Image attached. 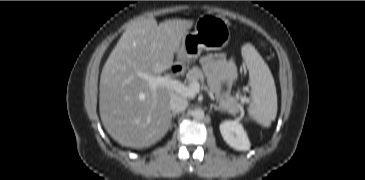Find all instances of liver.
<instances>
[{
  "mask_svg": "<svg viewBox=\"0 0 365 180\" xmlns=\"http://www.w3.org/2000/svg\"><path fill=\"white\" fill-rule=\"evenodd\" d=\"M192 20L154 18L132 21L108 57L100 79L99 112L104 128L123 146L149 147L171 126L170 98L176 91H153L139 74L158 76L182 56L183 37Z\"/></svg>",
  "mask_w": 365,
  "mask_h": 180,
  "instance_id": "1",
  "label": "liver"
}]
</instances>
